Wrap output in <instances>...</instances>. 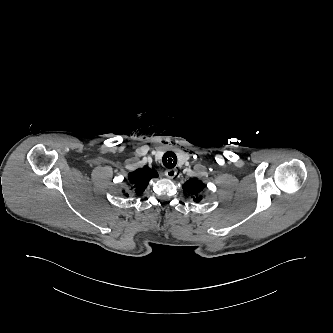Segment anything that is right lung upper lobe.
<instances>
[{"label": "right lung upper lobe", "mask_w": 333, "mask_h": 333, "mask_svg": "<svg viewBox=\"0 0 333 333\" xmlns=\"http://www.w3.org/2000/svg\"><path fill=\"white\" fill-rule=\"evenodd\" d=\"M155 177H158L157 172L148 167L137 169L128 175L130 183L135 184V192L137 195L142 194L150 179ZM123 193H125V191H123ZM125 196L128 197V194L126 193Z\"/></svg>", "instance_id": "right-lung-upper-lobe-1"}]
</instances>
